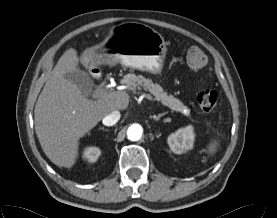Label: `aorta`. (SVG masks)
<instances>
[{
  "label": "aorta",
  "instance_id": "obj_1",
  "mask_svg": "<svg viewBox=\"0 0 277 218\" xmlns=\"http://www.w3.org/2000/svg\"><path fill=\"white\" fill-rule=\"evenodd\" d=\"M143 129L139 124H132L127 130V137L131 141H138L142 136Z\"/></svg>",
  "mask_w": 277,
  "mask_h": 218
}]
</instances>
